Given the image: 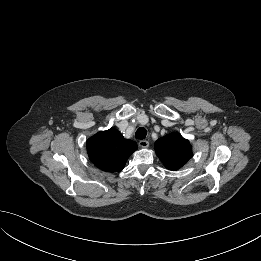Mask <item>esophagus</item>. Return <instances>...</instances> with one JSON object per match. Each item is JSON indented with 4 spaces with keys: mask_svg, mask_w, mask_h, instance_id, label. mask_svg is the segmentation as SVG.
I'll list each match as a JSON object with an SVG mask.
<instances>
[{
    "mask_svg": "<svg viewBox=\"0 0 261 261\" xmlns=\"http://www.w3.org/2000/svg\"><path fill=\"white\" fill-rule=\"evenodd\" d=\"M138 145L140 148H147L149 146V142L147 140H140Z\"/></svg>",
    "mask_w": 261,
    "mask_h": 261,
    "instance_id": "1",
    "label": "esophagus"
}]
</instances>
